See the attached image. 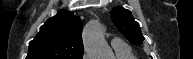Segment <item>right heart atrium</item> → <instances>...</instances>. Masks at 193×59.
I'll use <instances>...</instances> for the list:
<instances>
[{"label": "right heart atrium", "mask_w": 193, "mask_h": 59, "mask_svg": "<svg viewBox=\"0 0 193 59\" xmlns=\"http://www.w3.org/2000/svg\"><path fill=\"white\" fill-rule=\"evenodd\" d=\"M83 59H89V55H88L87 53H85V54L83 55Z\"/></svg>", "instance_id": "d8ad5b80"}]
</instances>
